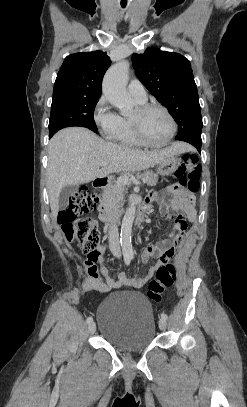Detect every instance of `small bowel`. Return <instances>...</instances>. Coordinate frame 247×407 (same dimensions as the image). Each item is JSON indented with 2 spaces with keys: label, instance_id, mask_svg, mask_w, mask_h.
<instances>
[{
  "label": "small bowel",
  "instance_id": "1",
  "mask_svg": "<svg viewBox=\"0 0 247 407\" xmlns=\"http://www.w3.org/2000/svg\"><path fill=\"white\" fill-rule=\"evenodd\" d=\"M167 194L169 195V204L162 205L160 212L165 218L173 219L175 224L173 231L167 238L149 245L144 249L141 256L142 261L148 262L150 259H153L152 262L148 263L144 275L131 276L122 272L120 273L118 280H113L109 276L108 269L104 265L106 246H101L97 249L94 256L87 258L84 264L85 270L91 276V279L83 285L84 291L107 292L121 286L141 288L149 282L154 272L159 267L164 266L169 262L174 256L175 251L180 247L185 232L188 229L189 222L194 220L195 212L192 202L189 199H186V196L188 195H181L176 187L169 188ZM166 198V194L160 192H152L150 195V200L152 201L165 200ZM97 263H99L100 273L98 271ZM100 274L104 277L105 281L102 280Z\"/></svg>",
  "mask_w": 247,
  "mask_h": 407
}]
</instances>
